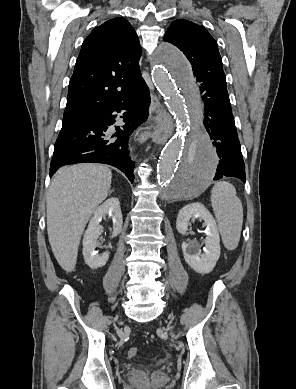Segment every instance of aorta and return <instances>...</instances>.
Segmentation results:
<instances>
[{"instance_id":"obj_1","label":"aorta","mask_w":296,"mask_h":389,"mask_svg":"<svg viewBox=\"0 0 296 389\" xmlns=\"http://www.w3.org/2000/svg\"><path fill=\"white\" fill-rule=\"evenodd\" d=\"M152 78L177 124L176 134L166 144L158 162V183L167 196L198 195L213 179L218 165L216 152L204 130L186 134L190 126L187 108H196L204 99L201 82L194 81L187 59L169 43H162L156 51Z\"/></svg>"}]
</instances>
